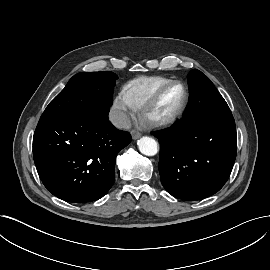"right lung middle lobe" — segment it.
<instances>
[{"label":"right lung middle lobe","instance_id":"1","mask_svg":"<svg viewBox=\"0 0 270 270\" xmlns=\"http://www.w3.org/2000/svg\"><path fill=\"white\" fill-rule=\"evenodd\" d=\"M116 79L117 76L110 71L74 75L41 117L81 115L110 107Z\"/></svg>","mask_w":270,"mask_h":270}]
</instances>
